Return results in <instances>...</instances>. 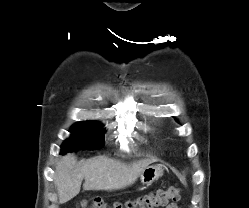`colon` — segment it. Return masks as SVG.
Instances as JSON below:
<instances>
[{
  "mask_svg": "<svg viewBox=\"0 0 249 208\" xmlns=\"http://www.w3.org/2000/svg\"><path fill=\"white\" fill-rule=\"evenodd\" d=\"M180 194V188L169 187L124 203L116 202L108 205L103 200H95L90 204L82 202L77 208H156L180 200Z\"/></svg>",
  "mask_w": 249,
  "mask_h": 208,
  "instance_id": "colon-1",
  "label": "colon"
}]
</instances>
